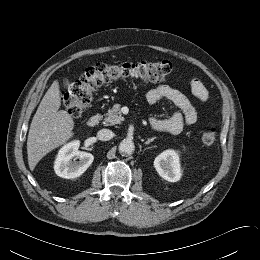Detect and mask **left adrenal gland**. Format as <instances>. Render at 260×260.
<instances>
[{
	"mask_svg": "<svg viewBox=\"0 0 260 260\" xmlns=\"http://www.w3.org/2000/svg\"><path fill=\"white\" fill-rule=\"evenodd\" d=\"M155 139H156V137L149 138V139H147V141L144 142V144L148 145V144H150L151 142H153Z\"/></svg>",
	"mask_w": 260,
	"mask_h": 260,
	"instance_id": "obj_1",
	"label": "left adrenal gland"
}]
</instances>
